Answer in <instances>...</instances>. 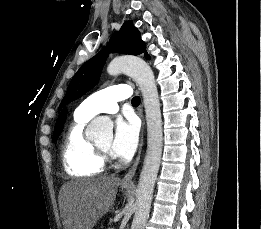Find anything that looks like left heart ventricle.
Here are the masks:
<instances>
[{
	"mask_svg": "<svg viewBox=\"0 0 261 229\" xmlns=\"http://www.w3.org/2000/svg\"><path fill=\"white\" fill-rule=\"evenodd\" d=\"M99 145H101L102 147L109 149L110 145H111V136H108L106 138H104L103 140H101V142H99Z\"/></svg>",
	"mask_w": 261,
	"mask_h": 229,
	"instance_id": "left-heart-ventricle-1",
	"label": "left heart ventricle"
}]
</instances>
